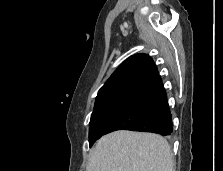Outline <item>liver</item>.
<instances>
[{"instance_id": "1", "label": "liver", "mask_w": 223, "mask_h": 171, "mask_svg": "<svg viewBox=\"0 0 223 171\" xmlns=\"http://www.w3.org/2000/svg\"><path fill=\"white\" fill-rule=\"evenodd\" d=\"M87 171H174V161L162 136L119 130L99 139Z\"/></svg>"}]
</instances>
